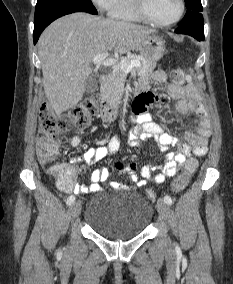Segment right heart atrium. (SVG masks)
<instances>
[{
	"label": "right heart atrium",
	"instance_id": "obj_1",
	"mask_svg": "<svg viewBox=\"0 0 233 284\" xmlns=\"http://www.w3.org/2000/svg\"><path fill=\"white\" fill-rule=\"evenodd\" d=\"M92 3L101 11H108L113 0H91Z\"/></svg>",
	"mask_w": 233,
	"mask_h": 284
}]
</instances>
